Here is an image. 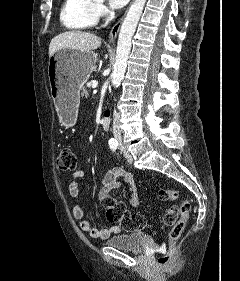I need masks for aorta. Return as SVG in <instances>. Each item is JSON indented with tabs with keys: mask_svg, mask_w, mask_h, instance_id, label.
<instances>
[{
	"mask_svg": "<svg viewBox=\"0 0 240 281\" xmlns=\"http://www.w3.org/2000/svg\"><path fill=\"white\" fill-rule=\"evenodd\" d=\"M146 0H134L130 6L128 13L122 23L116 51V60L114 64V70L111 75L112 84L115 87H119L126 68L131 50V41L135 33L137 24L142 15Z\"/></svg>",
	"mask_w": 240,
	"mask_h": 281,
	"instance_id": "1",
	"label": "aorta"
}]
</instances>
